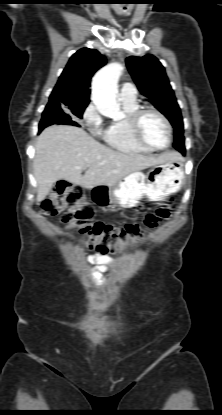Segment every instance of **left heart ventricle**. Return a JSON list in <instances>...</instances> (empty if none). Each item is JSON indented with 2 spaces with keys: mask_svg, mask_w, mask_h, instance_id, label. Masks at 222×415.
<instances>
[{
  "mask_svg": "<svg viewBox=\"0 0 222 415\" xmlns=\"http://www.w3.org/2000/svg\"><path fill=\"white\" fill-rule=\"evenodd\" d=\"M141 130L144 138L152 145L162 147L168 141V132L164 122L154 113L143 116Z\"/></svg>",
  "mask_w": 222,
  "mask_h": 415,
  "instance_id": "left-heart-ventricle-1",
  "label": "left heart ventricle"
}]
</instances>
